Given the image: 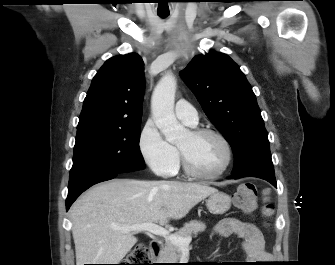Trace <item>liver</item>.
<instances>
[{
  "label": "liver",
  "instance_id": "6515ba94",
  "mask_svg": "<svg viewBox=\"0 0 335 265\" xmlns=\"http://www.w3.org/2000/svg\"><path fill=\"white\" fill-rule=\"evenodd\" d=\"M217 189L198 183L114 179L89 189L71 207L76 265L118 264L136 244L115 227L178 220Z\"/></svg>",
  "mask_w": 335,
  "mask_h": 265
}]
</instances>
